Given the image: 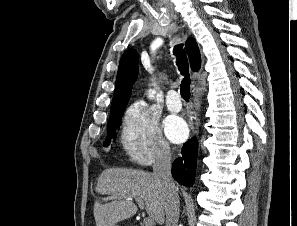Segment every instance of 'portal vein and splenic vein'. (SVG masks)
I'll list each match as a JSON object with an SVG mask.
<instances>
[{"mask_svg": "<svg viewBox=\"0 0 297 226\" xmlns=\"http://www.w3.org/2000/svg\"><path fill=\"white\" fill-rule=\"evenodd\" d=\"M135 201L138 203L139 207L141 209L144 208V201L140 198H134ZM130 200H133V198H130ZM145 226H153L154 225V219L150 216V217H146L143 220Z\"/></svg>", "mask_w": 297, "mask_h": 226, "instance_id": "portal-vein-and-splenic-vein-1", "label": "portal vein and splenic vein"}]
</instances>
